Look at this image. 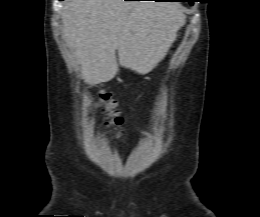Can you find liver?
Returning a JSON list of instances; mask_svg holds the SVG:
<instances>
[{
    "mask_svg": "<svg viewBox=\"0 0 260 217\" xmlns=\"http://www.w3.org/2000/svg\"><path fill=\"white\" fill-rule=\"evenodd\" d=\"M185 15L169 2L66 0L63 39L84 81L107 82L122 67L150 72L166 55Z\"/></svg>",
    "mask_w": 260,
    "mask_h": 217,
    "instance_id": "6515ba94",
    "label": "liver"
}]
</instances>
